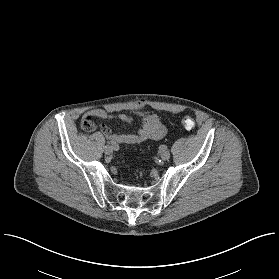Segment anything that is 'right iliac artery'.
Returning <instances> with one entry per match:
<instances>
[{
  "label": "right iliac artery",
  "instance_id": "1",
  "mask_svg": "<svg viewBox=\"0 0 279 279\" xmlns=\"http://www.w3.org/2000/svg\"><path fill=\"white\" fill-rule=\"evenodd\" d=\"M111 147H112V149H113L114 151L119 150V146H118V145H112Z\"/></svg>",
  "mask_w": 279,
  "mask_h": 279
}]
</instances>
